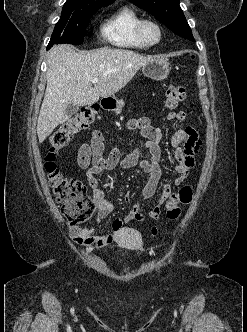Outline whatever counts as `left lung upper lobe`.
I'll list each match as a JSON object with an SVG mask.
<instances>
[{
    "mask_svg": "<svg viewBox=\"0 0 247 332\" xmlns=\"http://www.w3.org/2000/svg\"><path fill=\"white\" fill-rule=\"evenodd\" d=\"M136 6L152 14L175 34L195 41L186 21L179 0H130Z\"/></svg>",
    "mask_w": 247,
    "mask_h": 332,
    "instance_id": "left-lung-upper-lobe-1",
    "label": "left lung upper lobe"
}]
</instances>
